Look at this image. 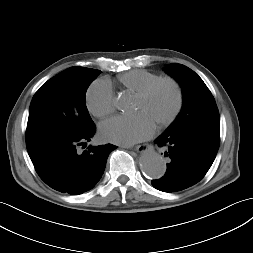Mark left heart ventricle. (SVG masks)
<instances>
[{
    "instance_id": "left-heart-ventricle-1",
    "label": "left heart ventricle",
    "mask_w": 253,
    "mask_h": 253,
    "mask_svg": "<svg viewBox=\"0 0 253 253\" xmlns=\"http://www.w3.org/2000/svg\"><path fill=\"white\" fill-rule=\"evenodd\" d=\"M175 104V92L169 84H162L146 98H136L134 110L146 113L154 123L168 117Z\"/></svg>"
}]
</instances>
